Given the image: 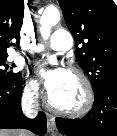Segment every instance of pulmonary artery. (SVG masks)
I'll use <instances>...</instances> for the list:
<instances>
[{
	"label": "pulmonary artery",
	"instance_id": "obj_1",
	"mask_svg": "<svg viewBox=\"0 0 117 136\" xmlns=\"http://www.w3.org/2000/svg\"><path fill=\"white\" fill-rule=\"evenodd\" d=\"M73 38L72 35L63 29L54 31L50 40L45 45H39L35 51L40 52L44 49H51L54 51H67L72 47Z\"/></svg>",
	"mask_w": 117,
	"mask_h": 136
}]
</instances>
